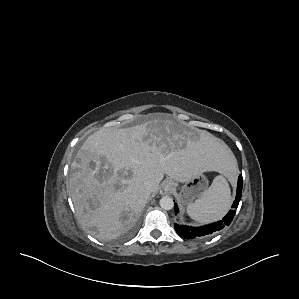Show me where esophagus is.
I'll return each instance as SVG.
<instances>
[{
	"instance_id": "obj_1",
	"label": "esophagus",
	"mask_w": 299,
	"mask_h": 299,
	"mask_svg": "<svg viewBox=\"0 0 299 299\" xmlns=\"http://www.w3.org/2000/svg\"><path fill=\"white\" fill-rule=\"evenodd\" d=\"M171 188H172V184H171L170 182H167V183L165 184V186H164V190H165L166 192L170 191Z\"/></svg>"
}]
</instances>
